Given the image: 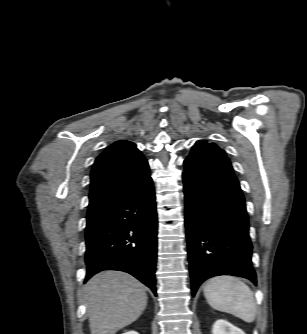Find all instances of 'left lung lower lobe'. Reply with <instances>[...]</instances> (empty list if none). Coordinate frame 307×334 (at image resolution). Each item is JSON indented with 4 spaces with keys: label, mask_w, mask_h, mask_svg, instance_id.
I'll return each mask as SVG.
<instances>
[{
    "label": "left lung lower lobe",
    "mask_w": 307,
    "mask_h": 334,
    "mask_svg": "<svg viewBox=\"0 0 307 334\" xmlns=\"http://www.w3.org/2000/svg\"><path fill=\"white\" fill-rule=\"evenodd\" d=\"M183 181L192 295L216 275L240 276L256 284L248 215L236 176L190 165Z\"/></svg>",
    "instance_id": "left-lung-lower-lobe-1"
}]
</instances>
